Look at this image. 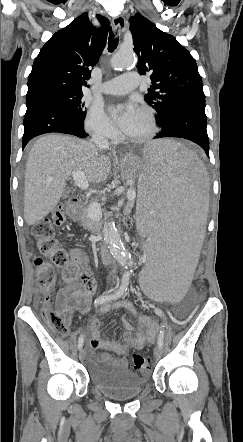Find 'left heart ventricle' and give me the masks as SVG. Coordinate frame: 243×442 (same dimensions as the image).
I'll return each mask as SVG.
<instances>
[{"mask_svg": "<svg viewBox=\"0 0 243 442\" xmlns=\"http://www.w3.org/2000/svg\"><path fill=\"white\" fill-rule=\"evenodd\" d=\"M150 129L151 124L149 116L140 110L131 127L125 132V135L133 138L141 137L149 133Z\"/></svg>", "mask_w": 243, "mask_h": 442, "instance_id": "b2bd125f", "label": "left heart ventricle"}]
</instances>
